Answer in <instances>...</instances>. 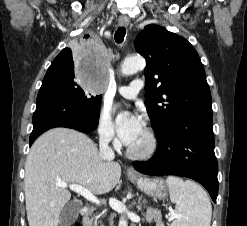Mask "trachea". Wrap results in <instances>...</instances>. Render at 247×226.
Here are the masks:
<instances>
[{
    "label": "trachea",
    "mask_w": 247,
    "mask_h": 226,
    "mask_svg": "<svg viewBox=\"0 0 247 226\" xmlns=\"http://www.w3.org/2000/svg\"><path fill=\"white\" fill-rule=\"evenodd\" d=\"M126 34L125 27H119L115 32L114 38L117 43H122Z\"/></svg>",
    "instance_id": "obj_1"
}]
</instances>
